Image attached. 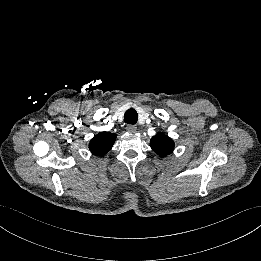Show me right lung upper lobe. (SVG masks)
Instances as JSON below:
<instances>
[{"label": "right lung upper lobe", "instance_id": "cb5924a9", "mask_svg": "<svg viewBox=\"0 0 261 261\" xmlns=\"http://www.w3.org/2000/svg\"><path fill=\"white\" fill-rule=\"evenodd\" d=\"M115 140L116 134L101 132L91 139L89 149L95 155H105L111 149Z\"/></svg>", "mask_w": 261, "mask_h": 261}]
</instances>
